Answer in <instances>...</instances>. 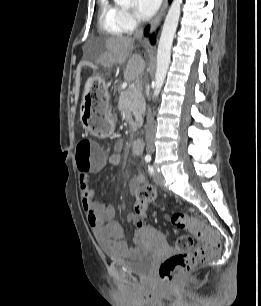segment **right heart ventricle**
<instances>
[{"label": "right heart ventricle", "instance_id": "1", "mask_svg": "<svg viewBox=\"0 0 261 306\" xmlns=\"http://www.w3.org/2000/svg\"><path fill=\"white\" fill-rule=\"evenodd\" d=\"M121 8L111 0H100L99 30L108 35H122L127 32L121 21Z\"/></svg>", "mask_w": 261, "mask_h": 306}]
</instances>
